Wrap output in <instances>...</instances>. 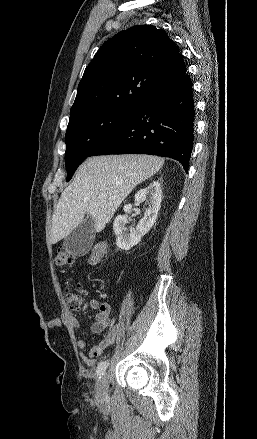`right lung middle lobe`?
Masks as SVG:
<instances>
[{"label": "right lung middle lobe", "mask_w": 257, "mask_h": 439, "mask_svg": "<svg viewBox=\"0 0 257 439\" xmlns=\"http://www.w3.org/2000/svg\"><path fill=\"white\" fill-rule=\"evenodd\" d=\"M134 111L122 109H99L78 114L69 120L66 131L65 166L67 180L95 147Z\"/></svg>", "instance_id": "right-lung-middle-lobe-1"}]
</instances>
